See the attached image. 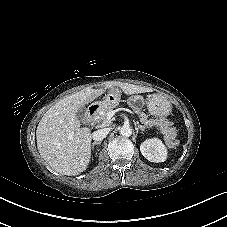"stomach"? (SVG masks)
<instances>
[{
	"mask_svg": "<svg viewBox=\"0 0 227 227\" xmlns=\"http://www.w3.org/2000/svg\"><path fill=\"white\" fill-rule=\"evenodd\" d=\"M120 98L121 91L119 88L112 87L110 88L105 101L100 104L114 105L120 101ZM128 101L129 103H143L144 99L143 97L136 95L131 96ZM146 104L149 112L159 118L167 117L171 112V103L165 96L158 93L148 95Z\"/></svg>",
	"mask_w": 227,
	"mask_h": 227,
	"instance_id": "0dacf381",
	"label": "stomach"
}]
</instances>
